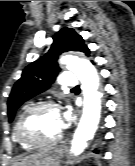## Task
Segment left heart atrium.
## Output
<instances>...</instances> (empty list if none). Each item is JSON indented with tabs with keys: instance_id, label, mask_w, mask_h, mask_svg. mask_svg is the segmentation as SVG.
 Masks as SVG:
<instances>
[{
	"instance_id": "39dd6f15",
	"label": "left heart atrium",
	"mask_w": 135,
	"mask_h": 166,
	"mask_svg": "<svg viewBox=\"0 0 135 166\" xmlns=\"http://www.w3.org/2000/svg\"><path fill=\"white\" fill-rule=\"evenodd\" d=\"M71 120V115L70 112H64L62 114H60V126L62 129L66 128Z\"/></svg>"
}]
</instances>
